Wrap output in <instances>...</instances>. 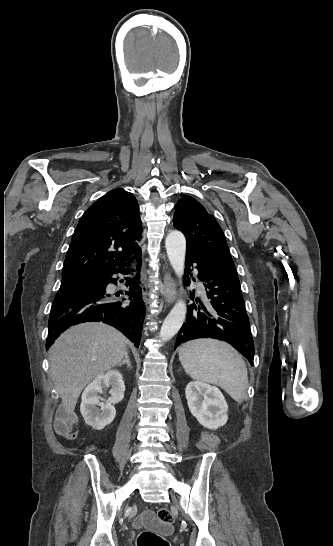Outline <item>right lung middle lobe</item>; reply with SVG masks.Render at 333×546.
<instances>
[{
	"label": "right lung middle lobe",
	"mask_w": 333,
	"mask_h": 546,
	"mask_svg": "<svg viewBox=\"0 0 333 546\" xmlns=\"http://www.w3.org/2000/svg\"><path fill=\"white\" fill-rule=\"evenodd\" d=\"M68 281H70V280L62 281V283H64V282H68Z\"/></svg>",
	"instance_id": "right-lung-middle-lobe-1"
}]
</instances>
